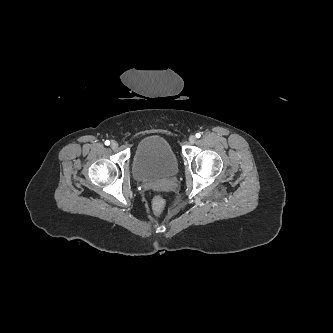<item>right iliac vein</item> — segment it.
Listing matches in <instances>:
<instances>
[{
  "mask_svg": "<svg viewBox=\"0 0 333 333\" xmlns=\"http://www.w3.org/2000/svg\"><path fill=\"white\" fill-rule=\"evenodd\" d=\"M118 147V143L116 141L111 142V148L116 149Z\"/></svg>",
  "mask_w": 333,
  "mask_h": 333,
  "instance_id": "1",
  "label": "right iliac vein"
}]
</instances>
